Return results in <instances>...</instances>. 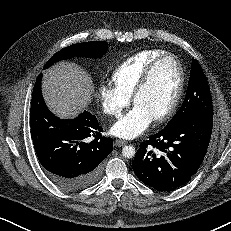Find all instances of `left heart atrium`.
Wrapping results in <instances>:
<instances>
[{"label": "left heart atrium", "mask_w": 231, "mask_h": 231, "mask_svg": "<svg viewBox=\"0 0 231 231\" xmlns=\"http://www.w3.org/2000/svg\"><path fill=\"white\" fill-rule=\"evenodd\" d=\"M153 120L150 113L135 105L111 127V132L120 138L133 139L146 131Z\"/></svg>", "instance_id": "39dd6f15"}]
</instances>
